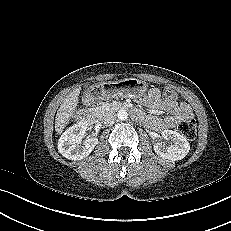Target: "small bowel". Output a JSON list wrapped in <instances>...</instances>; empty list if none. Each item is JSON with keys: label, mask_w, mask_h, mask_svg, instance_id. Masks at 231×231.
<instances>
[{"label": "small bowel", "mask_w": 231, "mask_h": 231, "mask_svg": "<svg viewBox=\"0 0 231 231\" xmlns=\"http://www.w3.org/2000/svg\"><path fill=\"white\" fill-rule=\"evenodd\" d=\"M144 104L156 111L169 113L165 117L146 116L142 120L154 131L173 129L183 120L191 119L193 114L186 103H178L176 100L164 99L157 88L151 89L143 99Z\"/></svg>", "instance_id": "c3829d8e"}]
</instances>
